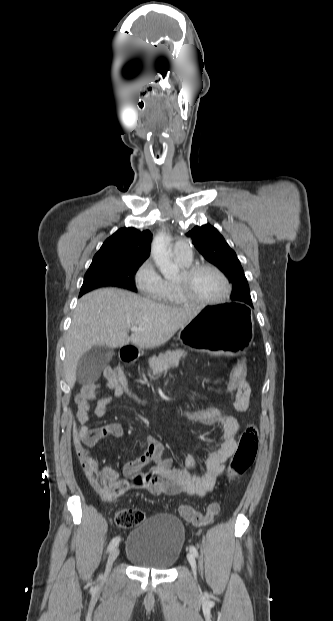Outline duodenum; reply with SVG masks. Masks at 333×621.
<instances>
[{
	"label": "duodenum",
	"mask_w": 333,
	"mask_h": 621,
	"mask_svg": "<svg viewBox=\"0 0 333 621\" xmlns=\"http://www.w3.org/2000/svg\"><path fill=\"white\" fill-rule=\"evenodd\" d=\"M122 361L125 363H133L137 360L139 353L134 348H123L120 353Z\"/></svg>",
	"instance_id": "duodenum-1"
}]
</instances>
